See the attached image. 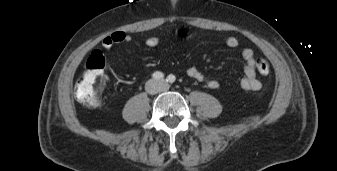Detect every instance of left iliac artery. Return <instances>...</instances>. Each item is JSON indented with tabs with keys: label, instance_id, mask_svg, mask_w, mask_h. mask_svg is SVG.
<instances>
[{
	"label": "left iliac artery",
	"instance_id": "1",
	"mask_svg": "<svg viewBox=\"0 0 337 171\" xmlns=\"http://www.w3.org/2000/svg\"><path fill=\"white\" fill-rule=\"evenodd\" d=\"M175 80H176V78H175V76L172 75V74H170V75L167 77V82H169V83H171V84L174 83Z\"/></svg>",
	"mask_w": 337,
	"mask_h": 171
}]
</instances>
